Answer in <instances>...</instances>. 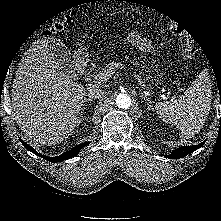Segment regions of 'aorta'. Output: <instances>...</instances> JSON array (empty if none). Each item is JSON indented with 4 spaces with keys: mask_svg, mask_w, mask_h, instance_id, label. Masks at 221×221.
<instances>
[{
    "mask_svg": "<svg viewBox=\"0 0 221 221\" xmlns=\"http://www.w3.org/2000/svg\"><path fill=\"white\" fill-rule=\"evenodd\" d=\"M116 105L121 109H128L131 105V98L126 93H120L116 96Z\"/></svg>",
    "mask_w": 221,
    "mask_h": 221,
    "instance_id": "1",
    "label": "aorta"
}]
</instances>
